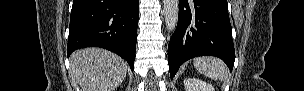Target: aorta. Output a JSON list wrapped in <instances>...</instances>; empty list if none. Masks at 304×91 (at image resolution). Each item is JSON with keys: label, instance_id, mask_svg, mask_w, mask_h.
Wrapping results in <instances>:
<instances>
[{"label": "aorta", "instance_id": "obj_1", "mask_svg": "<svg viewBox=\"0 0 304 91\" xmlns=\"http://www.w3.org/2000/svg\"><path fill=\"white\" fill-rule=\"evenodd\" d=\"M163 4L166 28L169 32H174L179 18V0H163Z\"/></svg>", "mask_w": 304, "mask_h": 91}]
</instances>
